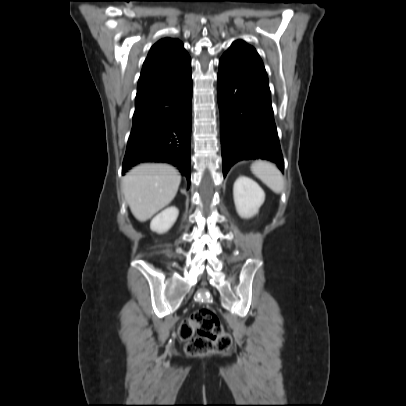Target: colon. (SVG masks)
Masks as SVG:
<instances>
[{
    "instance_id": "5ec220e1",
    "label": "colon",
    "mask_w": 406,
    "mask_h": 406,
    "mask_svg": "<svg viewBox=\"0 0 406 406\" xmlns=\"http://www.w3.org/2000/svg\"><path fill=\"white\" fill-rule=\"evenodd\" d=\"M178 338L186 342L190 356L222 353L231 348V336L222 327L217 315L203 308L193 312L178 327ZM197 333V336L194 334Z\"/></svg>"
}]
</instances>
